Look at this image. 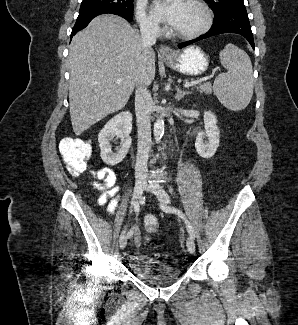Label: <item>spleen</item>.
Here are the masks:
<instances>
[{
	"instance_id": "spleen-1",
	"label": "spleen",
	"mask_w": 298,
	"mask_h": 325,
	"mask_svg": "<svg viewBox=\"0 0 298 325\" xmlns=\"http://www.w3.org/2000/svg\"><path fill=\"white\" fill-rule=\"evenodd\" d=\"M220 62L228 72H221L213 82L215 96L229 110H242L248 106L254 88L250 56L232 42L219 54Z\"/></svg>"
}]
</instances>
